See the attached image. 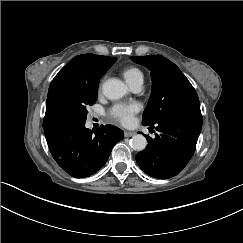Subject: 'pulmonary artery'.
<instances>
[{"label":"pulmonary artery","mask_w":243,"mask_h":243,"mask_svg":"<svg viewBox=\"0 0 243 243\" xmlns=\"http://www.w3.org/2000/svg\"><path fill=\"white\" fill-rule=\"evenodd\" d=\"M131 88H132L133 91L137 92V91H140L141 85H136V86H133Z\"/></svg>","instance_id":"obj_1"}]
</instances>
